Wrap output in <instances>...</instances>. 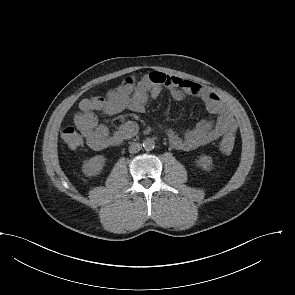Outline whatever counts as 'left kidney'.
I'll list each match as a JSON object with an SVG mask.
<instances>
[{"label": "left kidney", "instance_id": "1", "mask_svg": "<svg viewBox=\"0 0 295 295\" xmlns=\"http://www.w3.org/2000/svg\"><path fill=\"white\" fill-rule=\"evenodd\" d=\"M197 165L204 170H211L213 168L212 158L210 156L202 155L196 161Z\"/></svg>", "mask_w": 295, "mask_h": 295}]
</instances>
